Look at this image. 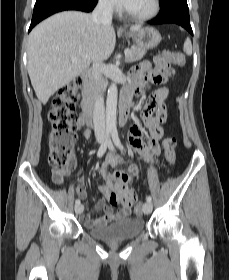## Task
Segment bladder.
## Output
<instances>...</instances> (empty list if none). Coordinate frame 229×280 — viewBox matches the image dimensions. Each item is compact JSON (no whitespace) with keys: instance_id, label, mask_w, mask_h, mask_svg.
Wrapping results in <instances>:
<instances>
[{"instance_id":"obj_1","label":"bladder","mask_w":229,"mask_h":280,"mask_svg":"<svg viewBox=\"0 0 229 280\" xmlns=\"http://www.w3.org/2000/svg\"><path fill=\"white\" fill-rule=\"evenodd\" d=\"M145 226L144 219L127 216L106 225L85 226V228L95 238L113 241L138 237L144 232Z\"/></svg>"}]
</instances>
